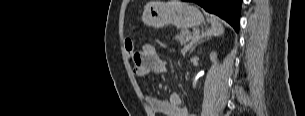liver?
Returning a JSON list of instances; mask_svg holds the SVG:
<instances>
[{
    "instance_id": "6515ba94",
    "label": "liver",
    "mask_w": 305,
    "mask_h": 116,
    "mask_svg": "<svg viewBox=\"0 0 305 116\" xmlns=\"http://www.w3.org/2000/svg\"><path fill=\"white\" fill-rule=\"evenodd\" d=\"M155 2H158V1H150L146 4L145 6V9H147L149 6H151L152 4H154Z\"/></svg>"
}]
</instances>
